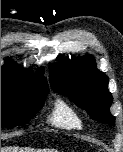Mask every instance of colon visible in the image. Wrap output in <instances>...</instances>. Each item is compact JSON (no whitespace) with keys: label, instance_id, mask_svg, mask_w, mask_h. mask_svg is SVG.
<instances>
[{"label":"colon","instance_id":"1","mask_svg":"<svg viewBox=\"0 0 123 152\" xmlns=\"http://www.w3.org/2000/svg\"><path fill=\"white\" fill-rule=\"evenodd\" d=\"M97 152H105L104 150H99V151H97Z\"/></svg>","mask_w":123,"mask_h":152}]
</instances>
